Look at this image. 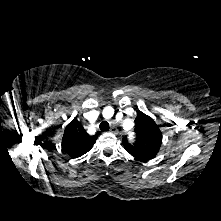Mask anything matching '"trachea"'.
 I'll return each mask as SVG.
<instances>
[{"label":"trachea","mask_w":221,"mask_h":221,"mask_svg":"<svg viewBox=\"0 0 221 221\" xmlns=\"http://www.w3.org/2000/svg\"><path fill=\"white\" fill-rule=\"evenodd\" d=\"M99 128L101 131H108L109 130V123L107 121H103L100 123Z\"/></svg>","instance_id":"obj_1"}]
</instances>
